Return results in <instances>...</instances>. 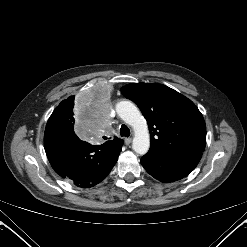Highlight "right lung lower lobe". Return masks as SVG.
Instances as JSON below:
<instances>
[{
  "instance_id": "obj_1",
  "label": "right lung lower lobe",
  "mask_w": 247,
  "mask_h": 247,
  "mask_svg": "<svg viewBox=\"0 0 247 247\" xmlns=\"http://www.w3.org/2000/svg\"><path fill=\"white\" fill-rule=\"evenodd\" d=\"M122 145H91L80 140L73 128L51 122L44 134L45 152L53 169L82 188L98 184L109 174Z\"/></svg>"
}]
</instances>
